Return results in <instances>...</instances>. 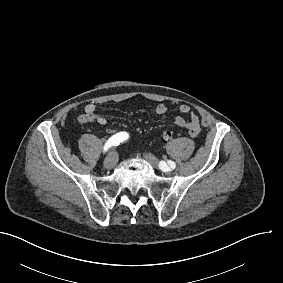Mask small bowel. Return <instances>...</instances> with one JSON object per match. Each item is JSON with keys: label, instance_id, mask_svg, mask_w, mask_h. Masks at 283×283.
<instances>
[{"label": "small bowel", "instance_id": "obj_1", "mask_svg": "<svg viewBox=\"0 0 283 283\" xmlns=\"http://www.w3.org/2000/svg\"><path fill=\"white\" fill-rule=\"evenodd\" d=\"M168 111V106L165 103H159L154 109V118H161ZM181 115L175 118V125L177 127L186 128L189 131L191 137L195 138L200 133V119L197 113L193 112L188 104H181L179 107ZM188 116V118H185ZM78 122L81 124L95 122L100 125H107L108 119L97 111L95 104H87L84 108V113L78 116ZM109 133H113L112 129L108 130Z\"/></svg>", "mask_w": 283, "mask_h": 283}]
</instances>
